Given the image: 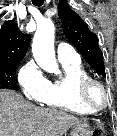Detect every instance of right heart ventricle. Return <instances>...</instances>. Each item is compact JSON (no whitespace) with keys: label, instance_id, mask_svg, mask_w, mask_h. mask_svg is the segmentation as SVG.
Segmentation results:
<instances>
[{"label":"right heart ventricle","instance_id":"1","mask_svg":"<svg viewBox=\"0 0 117 136\" xmlns=\"http://www.w3.org/2000/svg\"><path fill=\"white\" fill-rule=\"evenodd\" d=\"M61 64L64 69V75L53 81H49L43 103L48 107L77 115H91L96 113L82 105L76 96V84L78 80L88 76L80 61L61 62Z\"/></svg>","mask_w":117,"mask_h":136}]
</instances>
